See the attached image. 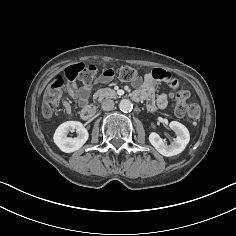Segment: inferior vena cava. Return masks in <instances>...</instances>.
Here are the masks:
<instances>
[{"label": "inferior vena cava", "mask_w": 236, "mask_h": 236, "mask_svg": "<svg viewBox=\"0 0 236 236\" xmlns=\"http://www.w3.org/2000/svg\"><path fill=\"white\" fill-rule=\"evenodd\" d=\"M114 108V101L111 99H106L102 102V109L105 111L112 110Z\"/></svg>", "instance_id": "1"}]
</instances>
